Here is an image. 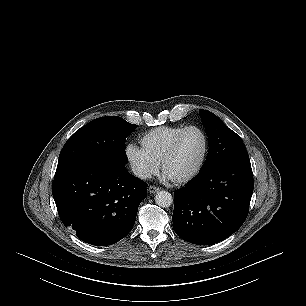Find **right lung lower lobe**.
I'll list each match as a JSON object with an SVG mask.
<instances>
[{
  "label": "right lung lower lobe",
  "mask_w": 306,
  "mask_h": 306,
  "mask_svg": "<svg viewBox=\"0 0 306 306\" xmlns=\"http://www.w3.org/2000/svg\"><path fill=\"white\" fill-rule=\"evenodd\" d=\"M146 187L125 164L89 162L56 173L52 194L64 226L86 243L107 246L133 228Z\"/></svg>",
  "instance_id": "right-lung-lower-lobe-1"
}]
</instances>
